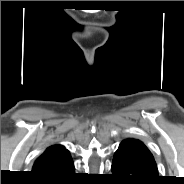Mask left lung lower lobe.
Instances as JSON below:
<instances>
[{
    "label": "left lung lower lobe",
    "instance_id": "1",
    "mask_svg": "<svg viewBox=\"0 0 184 184\" xmlns=\"http://www.w3.org/2000/svg\"><path fill=\"white\" fill-rule=\"evenodd\" d=\"M111 170L123 184H156L160 178L152 154L144 144L134 139L121 142Z\"/></svg>",
    "mask_w": 184,
    "mask_h": 184
}]
</instances>
